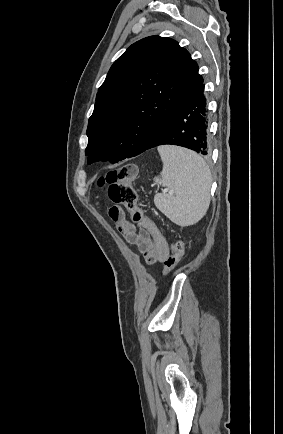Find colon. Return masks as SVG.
<instances>
[{"label":"colon","mask_w":283,"mask_h":434,"mask_svg":"<svg viewBox=\"0 0 283 434\" xmlns=\"http://www.w3.org/2000/svg\"><path fill=\"white\" fill-rule=\"evenodd\" d=\"M137 175V168L134 164H126L108 171L102 176L98 184L107 185L108 196L116 205L124 206L131 215L134 222L143 218L144 211L138 205L137 193L133 182ZM184 254V245L181 240H176L171 246V255L165 260L163 274L169 275L180 262Z\"/></svg>","instance_id":"1"}]
</instances>
